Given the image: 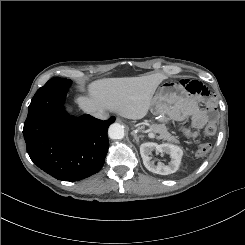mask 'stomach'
<instances>
[{
    "mask_svg": "<svg viewBox=\"0 0 245 245\" xmlns=\"http://www.w3.org/2000/svg\"><path fill=\"white\" fill-rule=\"evenodd\" d=\"M151 112L161 117L162 122L184 121L191 114L187 104L185 90L178 88L176 83L163 82L157 89L152 101Z\"/></svg>",
    "mask_w": 245,
    "mask_h": 245,
    "instance_id": "0dacf381",
    "label": "stomach"
}]
</instances>
